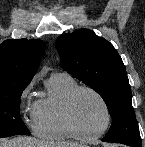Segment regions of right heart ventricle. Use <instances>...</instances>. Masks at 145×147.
Instances as JSON below:
<instances>
[{
  "instance_id": "1",
  "label": "right heart ventricle",
  "mask_w": 145,
  "mask_h": 147,
  "mask_svg": "<svg viewBox=\"0 0 145 147\" xmlns=\"http://www.w3.org/2000/svg\"><path fill=\"white\" fill-rule=\"evenodd\" d=\"M78 85L68 74H52L47 81V94L33 106V128L37 136L54 141L80 139L65 115L67 96Z\"/></svg>"
}]
</instances>
